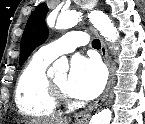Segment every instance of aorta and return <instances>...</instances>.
<instances>
[{
    "mask_svg": "<svg viewBox=\"0 0 145 124\" xmlns=\"http://www.w3.org/2000/svg\"><path fill=\"white\" fill-rule=\"evenodd\" d=\"M81 14L78 12H65L61 13L57 18L56 26L69 27L77 24L80 19ZM89 20L100 32V34L108 41L114 43L119 38V33L117 28L114 26L111 19L103 13L102 11H92L88 14ZM53 68L59 69L63 72H67L69 69L68 61L66 58L62 57L55 61ZM49 74H53V69H50ZM112 119V112L109 109H104L99 113L95 114L89 124H110Z\"/></svg>",
    "mask_w": 145,
    "mask_h": 124,
    "instance_id": "762f6f07",
    "label": "aorta"
}]
</instances>
